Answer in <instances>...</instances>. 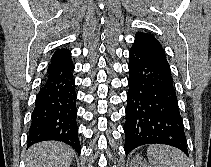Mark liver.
Returning <instances> with one entry per match:
<instances>
[{
  "label": "liver",
  "mask_w": 211,
  "mask_h": 167,
  "mask_svg": "<svg viewBox=\"0 0 211 167\" xmlns=\"http://www.w3.org/2000/svg\"><path fill=\"white\" fill-rule=\"evenodd\" d=\"M75 151L61 142H40L34 144L26 157L27 167H69Z\"/></svg>",
  "instance_id": "1"
}]
</instances>
